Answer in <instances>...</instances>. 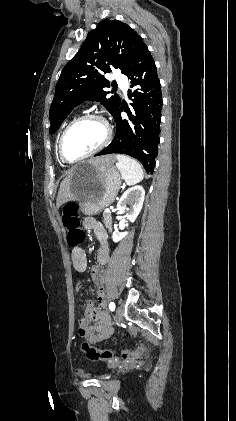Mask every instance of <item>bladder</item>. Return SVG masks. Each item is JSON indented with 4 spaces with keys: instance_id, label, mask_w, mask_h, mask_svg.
<instances>
[{
    "instance_id": "31cf9c89",
    "label": "bladder",
    "mask_w": 236,
    "mask_h": 421,
    "mask_svg": "<svg viewBox=\"0 0 236 421\" xmlns=\"http://www.w3.org/2000/svg\"><path fill=\"white\" fill-rule=\"evenodd\" d=\"M84 377H86V375H84ZM98 377H101V375H99Z\"/></svg>"
}]
</instances>
